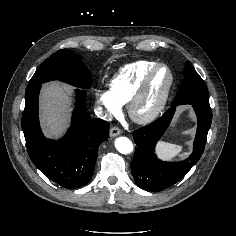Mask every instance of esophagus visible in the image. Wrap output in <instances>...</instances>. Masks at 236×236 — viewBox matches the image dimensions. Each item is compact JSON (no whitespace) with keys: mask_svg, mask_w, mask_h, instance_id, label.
Here are the masks:
<instances>
[{"mask_svg":"<svg viewBox=\"0 0 236 236\" xmlns=\"http://www.w3.org/2000/svg\"><path fill=\"white\" fill-rule=\"evenodd\" d=\"M121 133H122V131L118 127H112L110 129V136L111 137H116V136L120 135Z\"/></svg>","mask_w":236,"mask_h":236,"instance_id":"obj_1","label":"esophagus"}]
</instances>
